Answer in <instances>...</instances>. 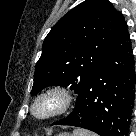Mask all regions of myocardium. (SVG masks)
<instances>
[{"mask_svg": "<svg viewBox=\"0 0 136 136\" xmlns=\"http://www.w3.org/2000/svg\"><path fill=\"white\" fill-rule=\"evenodd\" d=\"M45 101L54 102V107L47 113H38V106ZM73 102L70 91L62 85H52L41 91L33 100L30 110L32 115L38 120H49L66 113Z\"/></svg>", "mask_w": 136, "mask_h": 136, "instance_id": "obj_1", "label": "myocardium"}]
</instances>
